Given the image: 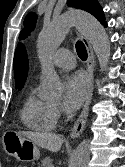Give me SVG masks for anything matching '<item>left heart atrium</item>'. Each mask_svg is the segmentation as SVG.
<instances>
[{
	"mask_svg": "<svg viewBox=\"0 0 125 167\" xmlns=\"http://www.w3.org/2000/svg\"><path fill=\"white\" fill-rule=\"evenodd\" d=\"M88 90L87 78L81 72L69 75L64 82L62 107L67 112L80 108Z\"/></svg>",
	"mask_w": 125,
	"mask_h": 167,
	"instance_id": "1",
	"label": "left heart atrium"
}]
</instances>
